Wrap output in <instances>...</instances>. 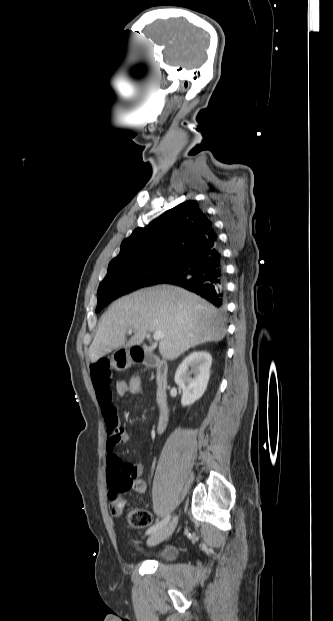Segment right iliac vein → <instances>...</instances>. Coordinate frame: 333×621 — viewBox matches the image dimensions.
<instances>
[{"mask_svg": "<svg viewBox=\"0 0 333 621\" xmlns=\"http://www.w3.org/2000/svg\"><path fill=\"white\" fill-rule=\"evenodd\" d=\"M177 524V517H175L169 524L154 532L148 538L149 545H157L167 539L174 531Z\"/></svg>", "mask_w": 333, "mask_h": 621, "instance_id": "63e3f726", "label": "right iliac vein"}]
</instances>
